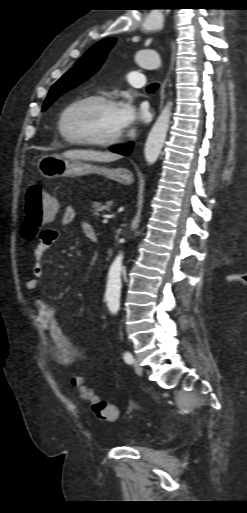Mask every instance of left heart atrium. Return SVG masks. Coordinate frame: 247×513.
<instances>
[{"instance_id": "1", "label": "left heart atrium", "mask_w": 247, "mask_h": 513, "mask_svg": "<svg viewBox=\"0 0 247 513\" xmlns=\"http://www.w3.org/2000/svg\"><path fill=\"white\" fill-rule=\"evenodd\" d=\"M138 117L136 108L130 100L117 105V118L121 130H125L135 124Z\"/></svg>"}]
</instances>
